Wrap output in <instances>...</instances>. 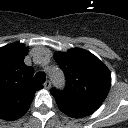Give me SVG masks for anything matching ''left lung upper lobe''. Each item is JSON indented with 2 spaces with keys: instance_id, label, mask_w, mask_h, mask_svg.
I'll return each instance as SVG.
<instances>
[{
  "instance_id": "5c2ea615",
  "label": "left lung upper lobe",
  "mask_w": 128,
  "mask_h": 128,
  "mask_svg": "<svg viewBox=\"0 0 128 128\" xmlns=\"http://www.w3.org/2000/svg\"><path fill=\"white\" fill-rule=\"evenodd\" d=\"M54 59L67 80L64 91L51 89L56 102L97 110L111 86L109 69L95 55L83 49L57 52Z\"/></svg>"
}]
</instances>
